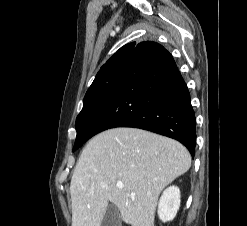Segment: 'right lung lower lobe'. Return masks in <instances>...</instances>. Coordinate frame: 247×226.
Instances as JSON below:
<instances>
[{
	"label": "right lung lower lobe",
	"mask_w": 247,
	"mask_h": 226,
	"mask_svg": "<svg viewBox=\"0 0 247 226\" xmlns=\"http://www.w3.org/2000/svg\"><path fill=\"white\" fill-rule=\"evenodd\" d=\"M115 127L140 128L176 139L194 157L196 119L190 94L172 55L160 44L141 42L131 51L92 136Z\"/></svg>",
	"instance_id": "obj_1"
}]
</instances>
